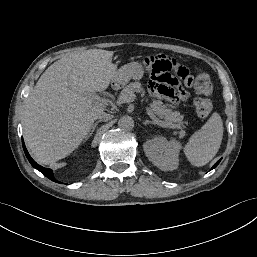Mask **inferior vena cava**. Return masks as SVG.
Segmentation results:
<instances>
[{"label":"inferior vena cava","mask_w":257,"mask_h":257,"mask_svg":"<svg viewBox=\"0 0 257 257\" xmlns=\"http://www.w3.org/2000/svg\"><path fill=\"white\" fill-rule=\"evenodd\" d=\"M96 118H97V119H100V120H104V121H109L110 119H112V115H110V114L105 113L104 111H102V112H99V113L96 115Z\"/></svg>","instance_id":"obj_1"}]
</instances>
